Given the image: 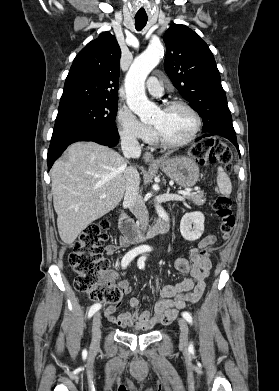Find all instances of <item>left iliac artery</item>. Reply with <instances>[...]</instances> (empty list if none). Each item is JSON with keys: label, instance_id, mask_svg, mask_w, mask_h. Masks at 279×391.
Listing matches in <instances>:
<instances>
[{"label": "left iliac artery", "instance_id": "left-iliac-artery-1", "mask_svg": "<svg viewBox=\"0 0 279 391\" xmlns=\"http://www.w3.org/2000/svg\"><path fill=\"white\" fill-rule=\"evenodd\" d=\"M145 260H146V257H145V256H142V257H140V258L138 259V266H139L140 269L144 268ZM182 316H183V318H184L187 322H189L190 324H192V316L190 315V313H188V312L185 311V312L182 313ZM189 349H193V344H192V343L189 345Z\"/></svg>", "mask_w": 279, "mask_h": 391}]
</instances>
